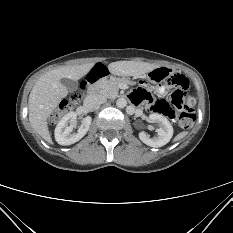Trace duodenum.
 Returning <instances> with one entry per match:
<instances>
[{"label":"duodenum","mask_w":233,"mask_h":233,"mask_svg":"<svg viewBox=\"0 0 233 233\" xmlns=\"http://www.w3.org/2000/svg\"><path fill=\"white\" fill-rule=\"evenodd\" d=\"M104 62H99L95 70L91 73H89L86 77L83 78L82 82V94L88 95L89 93H96L97 92V82L99 78L105 77L108 75V70L105 68Z\"/></svg>","instance_id":"obj_1"}]
</instances>
